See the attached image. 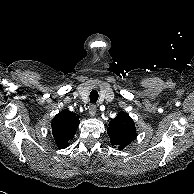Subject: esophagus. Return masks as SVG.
<instances>
[{
    "mask_svg": "<svg viewBox=\"0 0 194 194\" xmlns=\"http://www.w3.org/2000/svg\"><path fill=\"white\" fill-rule=\"evenodd\" d=\"M96 111H97L96 105L90 104L89 105V114L91 117H94L96 115Z\"/></svg>",
    "mask_w": 194,
    "mask_h": 194,
    "instance_id": "esophagus-1",
    "label": "esophagus"
}]
</instances>
